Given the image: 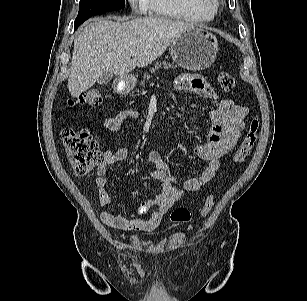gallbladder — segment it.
I'll return each mask as SVG.
<instances>
[{"instance_id": "bac80fb5", "label": "gallbladder", "mask_w": 307, "mask_h": 301, "mask_svg": "<svg viewBox=\"0 0 307 301\" xmlns=\"http://www.w3.org/2000/svg\"><path fill=\"white\" fill-rule=\"evenodd\" d=\"M113 77V74L110 73V72H104L103 74H101L97 80V83L99 85H105V84H108L111 79Z\"/></svg>"}]
</instances>
